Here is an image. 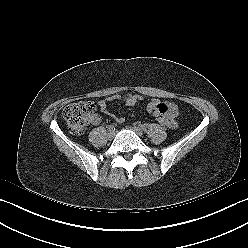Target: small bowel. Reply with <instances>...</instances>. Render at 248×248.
<instances>
[{"mask_svg": "<svg viewBox=\"0 0 248 248\" xmlns=\"http://www.w3.org/2000/svg\"><path fill=\"white\" fill-rule=\"evenodd\" d=\"M143 100L144 98L138 94H125V95L114 94V95H109L106 98L100 100L98 102V105L103 113L110 114L108 111V102L120 101L127 106H135ZM147 111L155 117L158 116L166 117L169 121L168 127H175L176 125L175 118L178 112L177 106L175 104L166 101H159L157 99H151L147 103ZM117 121L123 122L124 119L122 117H119L117 118ZM100 122H101V117L99 115H94L92 117V123L94 125H98Z\"/></svg>", "mask_w": 248, "mask_h": 248, "instance_id": "1", "label": "small bowel"}]
</instances>
